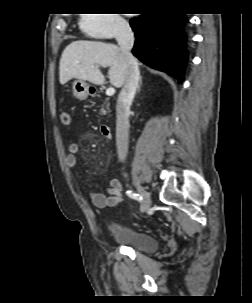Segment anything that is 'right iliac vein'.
<instances>
[{
    "label": "right iliac vein",
    "instance_id": "right-iliac-vein-1",
    "mask_svg": "<svg viewBox=\"0 0 252 303\" xmlns=\"http://www.w3.org/2000/svg\"><path fill=\"white\" fill-rule=\"evenodd\" d=\"M137 191L142 197L141 211L145 212L150 206L151 199L141 186H137Z\"/></svg>",
    "mask_w": 252,
    "mask_h": 303
}]
</instances>
